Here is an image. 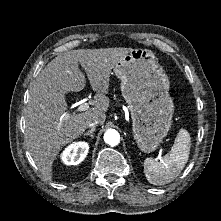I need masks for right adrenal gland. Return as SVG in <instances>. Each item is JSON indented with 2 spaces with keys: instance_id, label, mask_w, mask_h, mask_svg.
<instances>
[{
  "instance_id": "right-adrenal-gland-1",
  "label": "right adrenal gland",
  "mask_w": 221,
  "mask_h": 221,
  "mask_svg": "<svg viewBox=\"0 0 221 221\" xmlns=\"http://www.w3.org/2000/svg\"><path fill=\"white\" fill-rule=\"evenodd\" d=\"M94 132H95V128H92L90 131L84 133V137H85V136H90L91 139H93V137H94Z\"/></svg>"
}]
</instances>
